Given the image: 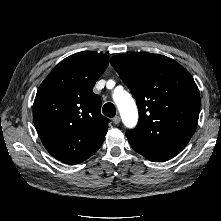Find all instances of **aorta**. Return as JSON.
I'll return each instance as SVG.
<instances>
[{
  "mask_svg": "<svg viewBox=\"0 0 221 221\" xmlns=\"http://www.w3.org/2000/svg\"><path fill=\"white\" fill-rule=\"evenodd\" d=\"M113 99L118 107L122 121L125 126L132 128L138 121V110L132 96L126 91H117Z\"/></svg>",
  "mask_w": 221,
  "mask_h": 221,
  "instance_id": "aorta-1",
  "label": "aorta"
}]
</instances>
